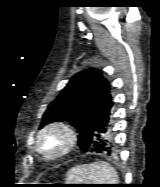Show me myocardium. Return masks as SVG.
I'll use <instances>...</instances> for the list:
<instances>
[{
    "instance_id": "myocardium-1",
    "label": "myocardium",
    "mask_w": 160,
    "mask_h": 187,
    "mask_svg": "<svg viewBox=\"0 0 160 187\" xmlns=\"http://www.w3.org/2000/svg\"><path fill=\"white\" fill-rule=\"evenodd\" d=\"M54 138L58 141L51 147L50 142ZM76 142L77 135L71 126L63 122H52L39 131L35 150L44 160L53 161L73 150Z\"/></svg>"
}]
</instances>
